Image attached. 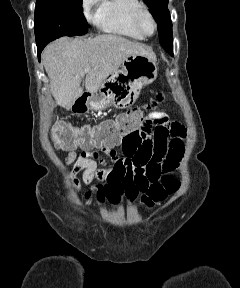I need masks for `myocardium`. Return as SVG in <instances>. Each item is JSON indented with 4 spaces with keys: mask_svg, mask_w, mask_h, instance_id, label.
I'll return each instance as SVG.
<instances>
[{
    "mask_svg": "<svg viewBox=\"0 0 240 288\" xmlns=\"http://www.w3.org/2000/svg\"><path fill=\"white\" fill-rule=\"evenodd\" d=\"M143 14H146L150 17V19L152 20L153 22V25H154V29H153V32L151 34H145L142 29H141V26H140V18ZM132 24L134 26V28L144 37V38H148V37H151L153 36L157 30H158V22L156 20V17L155 15L153 14V12L151 11V9L146 6V5H140L139 7H137L135 9V11L133 12V15H132Z\"/></svg>",
    "mask_w": 240,
    "mask_h": 288,
    "instance_id": "f54148a6",
    "label": "myocardium"
}]
</instances>
